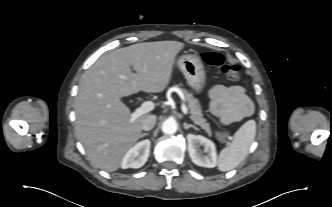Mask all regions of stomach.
<instances>
[{"instance_id": "0dacf381", "label": "stomach", "mask_w": 332, "mask_h": 207, "mask_svg": "<svg viewBox=\"0 0 332 207\" xmlns=\"http://www.w3.org/2000/svg\"><path fill=\"white\" fill-rule=\"evenodd\" d=\"M177 65L190 87L196 93H201L206 84V72L200 58L192 54L182 55Z\"/></svg>"}]
</instances>
